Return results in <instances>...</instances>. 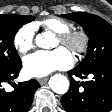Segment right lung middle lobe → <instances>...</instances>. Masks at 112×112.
Returning <instances> with one entry per match:
<instances>
[{"label":"right lung middle lobe","mask_w":112,"mask_h":112,"mask_svg":"<svg viewBox=\"0 0 112 112\" xmlns=\"http://www.w3.org/2000/svg\"><path fill=\"white\" fill-rule=\"evenodd\" d=\"M35 17L2 14L0 15V74H4L21 59L14 46V37L17 31Z\"/></svg>","instance_id":"1"}]
</instances>
